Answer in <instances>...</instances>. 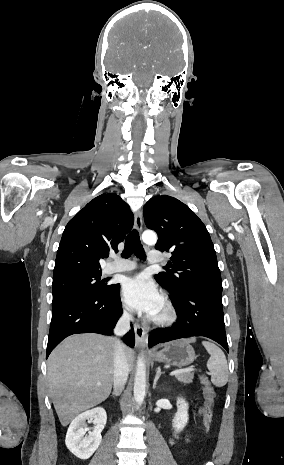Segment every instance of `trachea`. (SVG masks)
<instances>
[{"mask_svg":"<svg viewBox=\"0 0 284 465\" xmlns=\"http://www.w3.org/2000/svg\"><path fill=\"white\" fill-rule=\"evenodd\" d=\"M132 253L136 255L140 260H145L146 255L143 248V245L140 242L139 234L137 230H132L126 237L125 247L122 252L123 258H129ZM166 270H169V267H165Z\"/></svg>","mask_w":284,"mask_h":465,"instance_id":"3493384b","label":"trachea"}]
</instances>
